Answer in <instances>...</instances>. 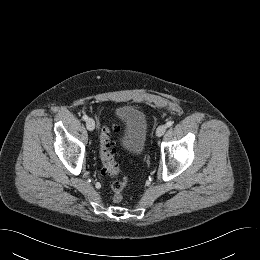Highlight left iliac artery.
Returning a JSON list of instances; mask_svg holds the SVG:
<instances>
[{
	"mask_svg": "<svg viewBox=\"0 0 260 260\" xmlns=\"http://www.w3.org/2000/svg\"><path fill=\"white\" fill-rule=\"evenodd\" d=\"M173 125V121H168L167 123H166V126L167 127H170V126H172Z\"/></svg>",
	"mask_w": 260,
	"mask_h": 260,
	"instance_id": "obj_1",
	"label": "left iliac artery"
}]
</instances>
